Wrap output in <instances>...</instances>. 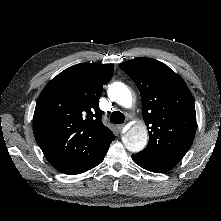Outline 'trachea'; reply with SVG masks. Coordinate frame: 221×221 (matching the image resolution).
I'll list each match as a JSON object with an SVG mask.
<instances>
[{
  "instance_id": "1",
  "label": "trachea",
  "mask_w": 221,
  "mask_h": 221,
  "mask_svg": "<svg viewBox=\"0 0 221 221\" xmlns=\"http://www.w3.org/2000/svg\"><path fill=\"white\" fill-rule=\"evenodd\" d=\"M110 121L114 124H122L124 123V115L120 111H114L110 116Z\"/></svg>"
}]
</instances>
